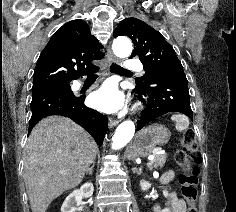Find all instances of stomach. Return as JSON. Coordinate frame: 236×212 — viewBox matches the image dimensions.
I'll list each match as a JSON object with an SVG mask.
<instances>
[{"instance_id":"stomach-1","label":"stomach","mask_w":236,"mask_h":212,"mask_svg":"<svg viewBox=\"0 0 236 212\" xmlns=\"http://www.w3.org/2000/svg\"><path fill=\"white\" fill-rule=\"evenodd\" d=\"M168 128L160 124L145 127L137 133L129 146L128 155L131 158L147 156L157 145H164L170 139Z\"/></svg>"}]
</instances>
